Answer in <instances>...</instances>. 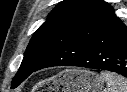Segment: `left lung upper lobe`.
<instances>
[{
	"mask_svg": "<svg viewBox=\"0 0 127 92\" xmlns=\"http://www.w3.org/2000/svg\"><path fill=\"white\" fill-rule=\"evenodd\" d=\"M113 13L103 0H64L32 36L12 88L21 84L58 48Z\"/></svg>",
	"mask_w": 127,
	"mask_h": 92,
	"instance_id": "5c2ea615",
	"label": "left lung upper lobe"
}]
</instances>
